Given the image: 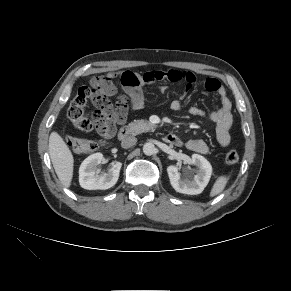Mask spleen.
Listing matches in <instances>:
<instances>
[{
  "instance_id": "1",
  "label": "spleen",
  "mask_w": 291,
  "mask_h": 291,
  "mask_svg": "<svg viewBox=\"0 0 291 291\" xmlns=\"http://www.w3.org/2000/svg\"><path fill=\"white\" fill-rule=\"evenodd\" d=\"M228 180L229 177L225 175L218 177L211 189L210 196L214 197L219 195L225 189Z\"/></svg>"
}]
</instances>
